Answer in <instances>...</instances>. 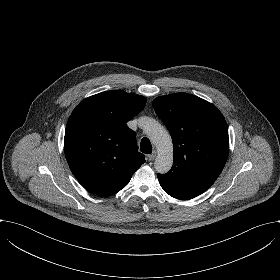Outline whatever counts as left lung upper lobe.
Masks as SVG:
<instances>
[{
    "label": "left lung upper lobe",
    "mask_w": 280,
    "mask_h": 280,
    "mask_svg": "<svg viewBox=\"0 0 280 280\" xmlns=\"http://www.w3.org/2000/svg\"><path fill=\"white\" fill-rule=\"evenodd\" d=\"M153 106L171 134L174 149L173 166L157 175L159 182L174 198H194L214 183L226 163L227 123L213 104L187 93L157 97Z\"/></svg>",
    "instance_id": "5c2ea615"
}]
</instances>
